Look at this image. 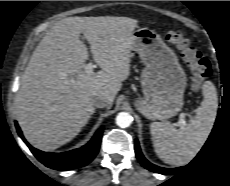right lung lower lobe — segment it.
I'll use <instances>...</instances> for the list:
<instances>
[{"label": "right lung lower lobe", "mask_w": 230, "mask_h": 186, "mask_svg": "<svg viewBox=\"0 0 230 186\" xmlns=\"http://www.w3.org/2000/svg\"><path fill=\"white\" fill-rule=\"evenodd\" d=\"M16 128L19 136L27 144L34 156L45 166L55 170H71L76 169L90 163L99 150L103 128L99 129L91 141L82 148L71 150L64 153L43 152L33 148L24 139L22 132L17 123Z\"/></svg>", "instance_id": "obj_1"}]
</instances>
